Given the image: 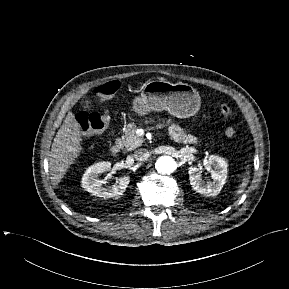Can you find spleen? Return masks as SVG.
I'll return each mask as SVG.
<instances>
[{
	"mask_svg": "<svg viewBox=\"0 0 289 289\" xmlns=\"http://www.w3.org/2000/svg\"><path fill=\"white\" fill-rule=\"evenodd\" d=\"M249 174V171L247 172ZM249 182L248 178H244L243 182L240 184L239 189L237 190L236 194L239 195L244 192V189L246 188L247 184Z\"/></svg>",
	"mask_w": 289,
	"mask_h": 289,
	"instance_id": "1",
	"label": "spleen"
}]
</instances>
